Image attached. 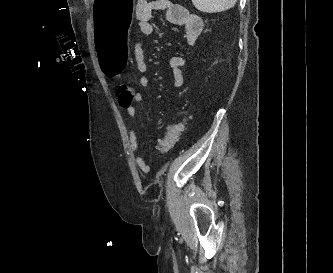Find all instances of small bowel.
Segmentation results:
<instances>
[{
    "label": "small bowel",
    "mask_w": 333,
    "mask_h": 273,
    "mask_svg": "<svg viewBox=\"0 0 333 273\" xmlns=\"http://www.w3.org/2000/svg\"><path fill=\"white\" fill-rule=\"evenodd\" d=\"M163 11L166 14L167 21L175 26L185 29L186 38L189 44L195 45L203 30V21L200 16L191 13L181 4L171 0H138L135 9V16L138 27L143 35H152L157 32V26L153 22V15L156 12ZM134 60L136 69L142 76L139 78V86L143 89L150 87V79L145 75L148 71V63L145 58L141 41L134 44ZM169 67L171 69L174 86L181 89L184 86L183 70H188L187 61L180 56H173L169 59ZM141 93L133 94V108L123 109L131 120L129 129V143L136 165L142 170L147 171L148 165L139 151L138 138L136 132L137 110L134 103L143 101Z\"/></svg>",
    "instance_id": "obj_1"
}]
</instances>
